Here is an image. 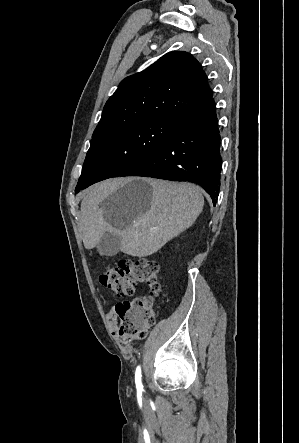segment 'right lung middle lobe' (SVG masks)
<instances>
[{
	"label": "right lung middle lobe",
	"instance_id": "right-lung-middle-lobe-1",
	"mask_svg": "<svg viewBox=\"0 0 299 443\" xmlns=\"http://www.w3.org/2000/svg\"><path fill=\"white\" fill-rule=\"evenodd\" d=\"M177 125L174 118H144L93 136L75 192L135 167L154 153Z\"/></svg>",
	"mask_w": 299,
	"mask_h": 443
}]
</instances>
